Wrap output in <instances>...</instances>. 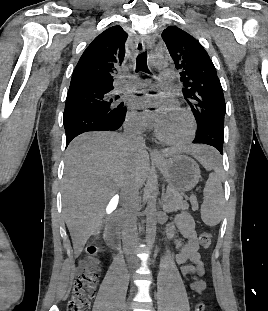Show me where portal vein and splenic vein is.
<instances>
[{
	"label": "portal vein and splenic vein",
	"mask_w": 268,
	"mask_h": 311,
	"mask_svg": "<svg viewBox=\"0 0 268 311\" xmlns=\"http://www.w3.org/2000/svg\"><path fill=\"white\" fill-rule=\"evenodd\" d=\"M118 199V197H113V200H117Z\"/></svg>",
	"instance_id": "18ae733b"
}]
</instances>
